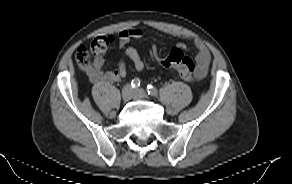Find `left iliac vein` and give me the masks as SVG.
Masks as SVG:
<instances>
[{"label": "left iliac vein", "instance_id": "left-iliac-vein-1", "mask_svg": "<svg viewBox=\"0 0 292 184\" xmlns=\"http://www.w3.org/2000/svg\"><path fill=\"white\" fill-rule=\"evenodd\" d=\"M133 98L139 99V100L145 99L147 98V93L144 89H141V88L135 89L133 91Z\"/></svg>", "mask_w": 292, "mask_h": 184}]
</instances>
